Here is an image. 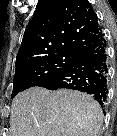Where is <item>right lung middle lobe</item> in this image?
I'll return each instance as SVG.
<instances>
[{
    "mask_svg": "<svg viewBox=\"0 0 117 136\" xmlns=\"http://www.w3.org/2000/svg\"><path fill=\"white\" fill-rule=\"evenodd\" d=\"M76 55L72 52H61L33 60L16 68L11 97L48 80L61 71Z\"/></svg>",
    "mask_w": 117,
    "mask_h": 136,
    "instance_id": "obj_1",
    "label": "right lung middle lobe"
}]
</instances>
